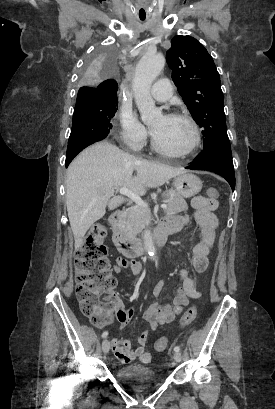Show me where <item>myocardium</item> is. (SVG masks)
Returning <instances> with one entry per match:
<instances>
[{"label":"myocardium","mask_w":275,"mask_h":409,"mask_svg":"<svg viewBox=\"0 0 275 409\" xmlns=\"http://www.w3.org/2000/svg\"><path fill=\"white\" fill-rule=\"evenodd\" d=\"M165 117L168 119L185 121L192 130V140L189 143V145L183 150H170L162 146L156 140L152 131H150L151 146L153 150L159 154L170 156V157H184V156L191 154L200 143V130L195 120L187 114L177 113V112L168 113L165 115Z\"/></svg>","instance_id":"1"}]
</instances>
